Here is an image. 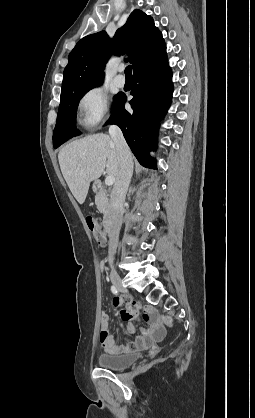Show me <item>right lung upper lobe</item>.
Listing matches in <instances>:
<instances>
[{"instance_id": "right-lung-upper-lobe-1", "label": "right lung upper lobe", "mask_w": 255, "mask_h": 418, "mask_svg": "<svg viewBox=\"0 0 255 418\" xmlns=\"http://www.w3.org/2000/svg\"><path fill=\"white\" fill-rule=\"evenodd\" d=\"M129 55L134 74L166 57V45L153 19L134 10L124 26L110 40L105 31L82 38L71 51L64 70L62 93L103 82L105 63L110 50Z\"/></svg>"}]
</instances>
